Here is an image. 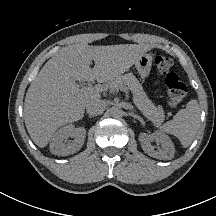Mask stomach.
<instances>
[{
    "label": "stomach",
    "instance_id": "0dacf381",
    "mask_svg": "<svg viewBox=\"0 0 216 216\" xmlns=\"http://www.w3.org/2000/svg\"><path fill=\"white\" fill-rule=\"evenodd\" d=\"M152 60L153 58L150 54H143L135 63V68L143 80H145L150 74Z\"/></svg>",
    "mask_w": 216,
    "mask_h": 216
}]
</instances>
